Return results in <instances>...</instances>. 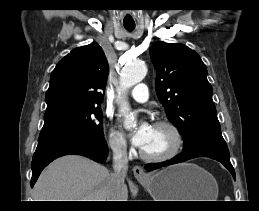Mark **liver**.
<instances>
[{"label": "liver", "instance_id": "6515ba94", "mask_svg": "<svg viewBox=\"0 0 259 211\" xmlns=\"http://www.w3.org/2000/svg\"><path fill=\"white\" fill-rule=\"evenodd\" d=\"M111 174L88 158L67 155L56 159L39 176L34 201H107ZM120 201H127L128 189L119 190Z\"/></svg>", "mask_w": 259, "mask_h": 211}]
</instances>
